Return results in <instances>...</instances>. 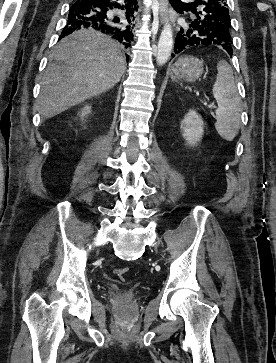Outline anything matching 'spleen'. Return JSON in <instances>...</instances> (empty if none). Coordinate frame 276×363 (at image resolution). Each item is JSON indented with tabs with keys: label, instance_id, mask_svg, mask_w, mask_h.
Segmentation results:
<instances>
[{
	"label": "spleen",
	"instance_id": "3e777b00",
	"mask_svg": "<svg viewBox=\"0 0 276 363\" xmlns=\"http://www.w3.org/2000/svg\"><path fill=\"white\" fill-rule=\"evenodd\" d=\"M217 77L213 85V96L218 108L215 111V128L220 137L232 141L239 131L241 99L237 92L231 66L220 60L217 64Z\"/></svg>",
	"mask_w": 276,
	"mask_h": 363
}]
</instances>
